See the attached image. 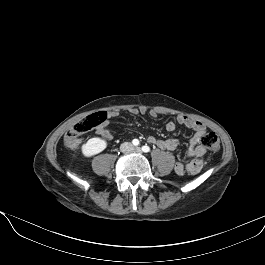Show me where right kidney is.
<instances>
[{"mask_svg":"<svg viewBox=\"0 0 265 265\" xmlns=\"http://www.w3.org/2000/svg\"><path fill=\"white\" fill-rule=\"evenodd\" d=\"M107 147V142L101 138H91L82 145L81 151L85 157H92L102 152Z\"/></svg>","mask_w":265,"mask_h":265,"instance_id":"ca27d5eb","label":"right kidney"}]
</instances>
